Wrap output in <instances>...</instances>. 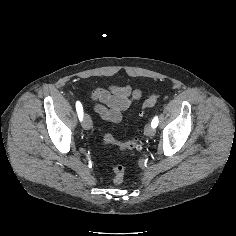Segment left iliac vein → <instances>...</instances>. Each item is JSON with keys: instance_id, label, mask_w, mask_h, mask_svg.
Here are the masks:
<instances>
[{"instance_id": "left-iliac-vein-1", "label": "left iliac vein", "mask_w": 236, "mask_h": 236, "mask_svg": "<svg viewBox=\"0 0 236 236\" xmlns=\"http://www.w3.org/2000/svg\"><path fill=\"white\" fill-rule=\"evenodd\" d=\"M144 133L148 137H153L155 135V133H156V130L150 124H147L145 126Z\"/></svg>"}]
</instances>
